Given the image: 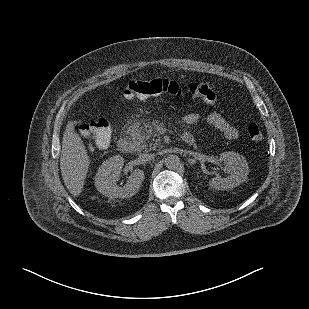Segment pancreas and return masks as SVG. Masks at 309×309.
<instances>
[{
	"instance_id": "1",
	"label": "pancreas",
	"mask_w": 309,
	"mask_h": 309,
	"mask_svg": "<svg viewBox=\"0 0 309 309\" xmlns=\"http://www.w3.org/2000/svg\"><path fill=\"white\" fill-rule=\"evenodd\" d=\"M133 137L139 149H156L160 144V135L153 129H139L133 133Z\"/></svg>"
}]
</instances>
